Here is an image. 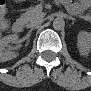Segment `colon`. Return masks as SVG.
<instances>
[{"label":"colon","instance_id":"colon-1","mask_svg":"<svg viewBox=\"0 0 91 91\" xmlns=\"http://www.w3.org/2000/svg\"><path fill=\"white\" fill-rule=\"evenodd\" d=\"M3 9H5V7H4V6H1V8H0V15L3 14ZM5 10H6V9H5ZM5 15H6V13H5ZM5 20H6V19H5ZM4 27H5V29L8 28V22H7V21H5Z\"/></svg>","mask_w":91,"mask_h":91}]
</instances>
